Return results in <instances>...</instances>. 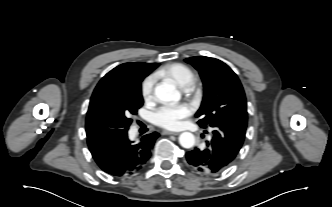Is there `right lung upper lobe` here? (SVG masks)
Here are the masks:
<instances>
[{
  "instance_id": "1",
  "label": "right lung upper lobe",
  "mask_w": 332,
  "mask_h": 207,
  "mask_svg": "<svg viewBox=\"0 0 332 207\" xmlns=\"http://www.w3.org/2000/svg\"><path fill=\"white\" fill-rule=\"evenodd\" d=\"M158 63H143V62H135V63H124L109 73H107L98 83L97 87L101 86L102 84L123 77H135L139 75H148L151 73L155 68L158 67ZM145 76V77H146Z\"/></svg>"
}]
</instances>
